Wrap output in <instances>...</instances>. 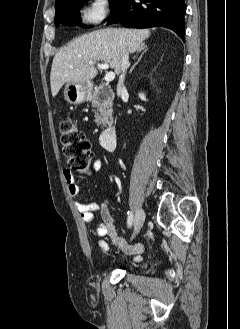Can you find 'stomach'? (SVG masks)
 <instances>
[{
  "mask_svg": "<svg viewBox=\"0 0 240 329\" xmlns=\"http://www.w3.org/2000/svg\"><path fill=\"white\" fill-rule=\"evenodd\" d=\"M90 93L88 83H67L64 89L65 100L77 105L85 102Z\"/></svg>",
  "mask_w": 240,
  "mask_h": 329,
  "instance_id": "0dacf381",
  "label": "stomach"
}]
</instances>
